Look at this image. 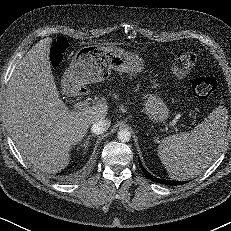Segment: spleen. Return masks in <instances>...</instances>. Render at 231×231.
Returning <instances> with one entry per match:
<instances>
[{
    "instance_id": "1",
    "label": "spleen",
    "mask_w": 231,
    "mask_h": 231,
    "mask_svg": "<svg viewBox=\"0 0 231 231\" xmlns=\"http://www.w3.org/2000/svg\"><path fill=\"white\" fill-rule=\"evenodd\" d=\"M227 124L228 111L219 105L190 132L163 139L158 156L169 176L183 181L201 174L223 147Z\"/></svg>"
}]
</instances>
